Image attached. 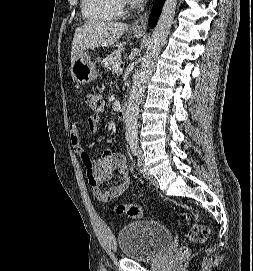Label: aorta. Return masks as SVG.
I'll use <instances>...</instances> for the list:
<instances>
[{"label":"aorta","instance_id":"obj_1","mask_svg":"<svg viewBox=\"0 0 253 271\" xmlns=\"http://www.w3.org/2000/svg\"><path fill=\"white\" fill-rule=\"evenodd\" d=\"M176 6L177 0H165L162 13L149 40L141 67L135 77L125 114V136L127 141H136L138 138L139 106L147 82L152 74L155 60L165 44L170 28L173 24Z\"/></svg>","mask_w":253,"mask_h":271}]
</instances>
